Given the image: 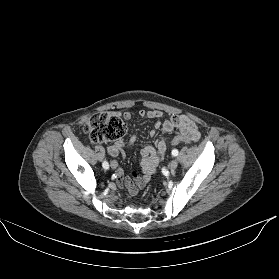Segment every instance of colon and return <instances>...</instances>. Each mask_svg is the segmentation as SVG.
Here are the masks:
<instances>
[{
	"mask_svg": "<svg viewBox=\"0 0 279 279\" xmlns=\"http://www.w3.org/2000/svg\"><path fill=\"white\" fill-rule=\"evenodd\" d=\"M84 131L93 143L110 142L122 138L126 132V126L118 116L108 112H98L86 122ZM191 142L181 136H175L170 141L172 145Z\"/></svg>",
	"mask_w": 279,
	"mask_h": 279,
	"instance_id": "obj_1",
	"label": "colon"
}]
</instances>
